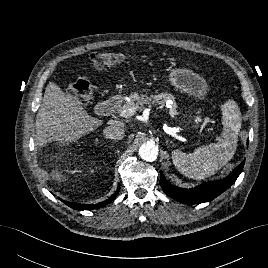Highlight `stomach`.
<instances>
[{
  "label": "stomach",
  "instance_id": "stomach-1",
  "mask_svg": "<svg viewBox=\"0 0 268 268\" xmlns=\"http://www.w3.org/2000/svg\"><path fill=\"white\" fill-rule=\"evenodd\" d=\"M168 82L181 92L199 99L206 96L208 91L206 80L185 67H170Z\"/></svg>",
  "mask_w": 268,
  "mask_h": 268
}]
</instances>
